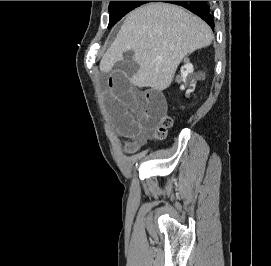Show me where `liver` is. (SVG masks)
I'll use <instances>...</instances> for the list:
<instances>
[{
    "label": "liver",
    "instance_id": "1",
    "mask_svg": "<svg viewBox=\"0 0 271 266\" xmlns=\"http://www.w3.org/2000/svg\"><path fill=\"white\" fill-rule=\"evenodd\" d=\"M213 40L211 28L199 17L181 7L151 3L131 12L120 32L100 62V70L113 67L125 52H133V60L141 68L130 77L139 87L158 91L168 88L183 58Z\"/></svg>",
    "mask_w": 271,
    "mask_h": 266
}]
</instances>
